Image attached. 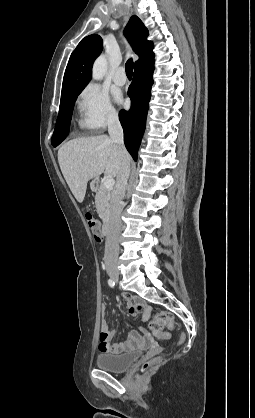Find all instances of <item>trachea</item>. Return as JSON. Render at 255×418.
Segmentation results:
<instances>
[{
    "label": "trachea",
    "instance_id": "trachea-1",
    "mask_svg": "<svg viewBox=\"0 0 255 418\" xmlns=\"http://www.w3.org/2000/svg\"><path fill=\"white\" fill-rule=\"evenodd\" d=\"M133 67H134V63H133V60L130 58L125 64V71H126L127 76H132Z\"/></svg>",
    "mask_w": 255,
    "mask_h": 418
}]
</instances>
